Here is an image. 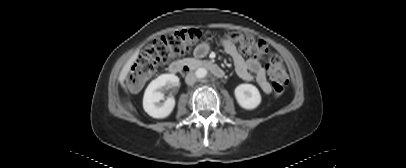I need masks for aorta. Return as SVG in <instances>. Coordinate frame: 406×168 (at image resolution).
<instances>
[{
    "mask_svg": "<svg viewBox=\"0 0 406 168\" xmlns=\"http://www.w3.org/2000/svg\"><path fill=\"white\" fill-rule=\"evenodd\" d=\"M207 70L205 68H198L195 72V76L199 79L206 77Z\"/></svg>",
    "mask_w": 406,
    "mask_h": 168,
    "instance_id": "obj_1",
    "label": "aorta"
}]
</instances>
